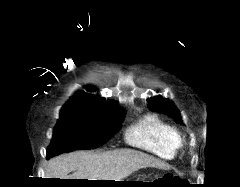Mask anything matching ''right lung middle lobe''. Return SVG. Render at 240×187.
<instances>
[{
    "label": "right lung middle lobe",
    "mask_w": 240,
    "mask_h": 187,
    "mask_svg": "<svg viewBox=\"0 0 240 187\" xmlns=\"http://www.w3.org/2000/svg\"><path fill=\"white\" fill-rule=\"evenodd\" d=\"M122 112L94 113L61 110L47 149V159L77 149H94L104 143L121 126Z\"/></svg>",
    "instance_id": "dd1d6c3e"
}]
</instances>
